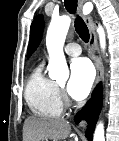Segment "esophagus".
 <instances>
[{"label":"esophagus","mask_w":119,"mask_h":141,"mask_svg":"<svg viewBox=\"0 0 119 141\" xmlns=\"http://www.w3.org/2000/svg\"><path fill=\"white\" fill-rule=\"evenodd\" d=\"M79 7L80 9H82L83 4H84V0H79ZM84 20L87 24V27L89 29V35H90V39H89V48H90V57L92 58L95 68H96V80H95V85L101 80L102 78V68H101V64L99 62V60L97 59V57L95 56V49H96V45H97V38H96V33H95V29H94V25H93V21H92V17L91 16H85ZM81 125L83 127L86 126V123L83 121L81 123Z\"/></svg>","instance_id":"34e87169"}]
</instances>
